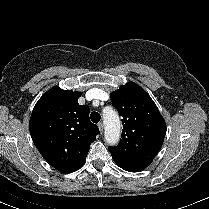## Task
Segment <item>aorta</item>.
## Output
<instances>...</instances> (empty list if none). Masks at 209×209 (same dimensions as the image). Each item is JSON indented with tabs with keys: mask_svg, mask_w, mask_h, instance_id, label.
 <instances>
[{
	"mask_svg": "<svg viewBox=\"0 0 209 209\" xmlns=\"http://www.w3.org/2000/svg\"><path fill=\"white\" fill-rule=\"evenodd\" d=\"M103 120L106 142L112 146L118 144L121 135V123L118 113L111 107H108L103 110Z\"/></svg>",
	"mask_w": 209,
	"mask_h": 209,
	"instance_id": "aorta-1",
	"label": "aorta"
}]
</instances>
